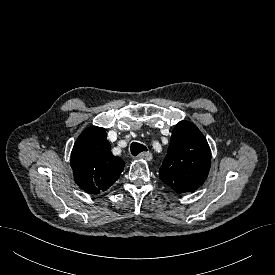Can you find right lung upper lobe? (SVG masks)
I'll use <instances>...</instances> for the list:
<instances>
[{"mask_svg": "<svg viewBox=\"0 0 275 275\" xmlns=\"http://www.w3.org/2000/svg\"><path fill=\"white\" fill-rule=\"evenodd\" d=\"M124 161L114 156L104 128L85 129L74 144L71 167L75 182L87 193L108 189L120 176Z\"/></svg>", "mask_w": 275, "mask_h": 275, "instance_id": "right-lung-upper-lobe-1", "label": "right lung upper lobe"}]
</instances>
